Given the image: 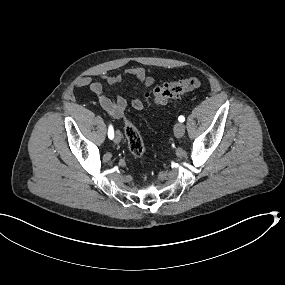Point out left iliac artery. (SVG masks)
I'll return each mask as SVG.
<instances>
[{
	"mask_svg": "<svg viewBox=\"0 0 285 285\" xmlns=\"http://www.w3.org/2000/svg\"><path fill=\"white\" fill-rule=\"evenodd\" d=\"M178 120H179L180 122H184V121H185V117L181 115V116L178 117Z\"/></svg>",
	"mask_w": 285,
	"mask_h": 285,
	"instance_id": "1",
	"label": "left iliac artery"
}]
</instances>
